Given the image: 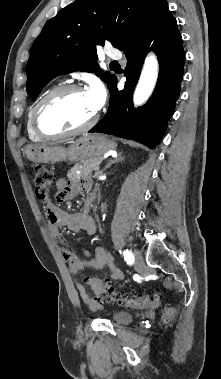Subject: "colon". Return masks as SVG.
<instances>
[{"label":"colon","mask_w":221,"mask_h":379,"mask_svg":"<svg viewBox=\"0 0 221 379\" xmlns=\"http://www.w3.org/2000/svg\"><path fill=\"white\" fill-rule=\"evenodd\" d=\"M34 184L36 187V195L38 199L45 203L49 200L55 177L53 172L47 167L36 164L33 167ZM88 284L95 294V298L99 302H116L124 303L134 308H144L155 306L159 300L156 296L152 295H137L132 297H124L120 293L115 292L108 284L104 283L99 278H88ZM175 314L173 308L168 309L164 314V320L170 321Z\"/></svg>","instance_id":"1"}]
</instances>
